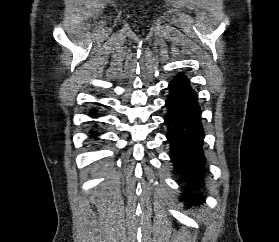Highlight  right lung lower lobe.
I'll list each match as a JSON object with an SVG mask.
<instances>
[{
  "mask_svg": "<svg viewBox=\"0 0 279 242\" xmlns=\"http://www.w3.org/2000/svg\"><path fill=\"white\" fill-rule=\"evenodd\" d=\"M92 116H95V117H96V116H97L96 112H92ZM92 134H93V135H99L98 132H94V131L92 132Z\"/></svg>",
  "mask_w": 279,
  "mask_h": 242,
  "instance_id": "right-lung-lower-lobe-1",
  "label": "right lung lower lobe"
}]
</instances>
